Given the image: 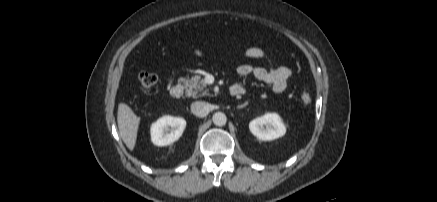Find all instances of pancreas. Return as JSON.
Returning <instances> with one entry per match:
<instances>
[{
	"mask_svg": "<svg viewBox=\"0 0 437 202\" xmlns=\"http://www.w3.org/2000/svg\"><path fill=\"white\" fill-rule=\"evenodd\" d=\"M181 81L185 85L186 95L188 97L198 98L209 95L208 90L206 89L207 85L199 75H195L191 79L182 78Z\"/></svg>",
	"mask_w": 437,
	"mask_h": 202,
	"instance_id": "pancreas-1",
	"label": "pancreas"
}]
</instances>
